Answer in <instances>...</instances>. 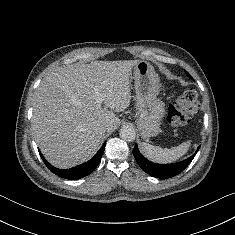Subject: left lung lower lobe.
I'll list each match as a JSON object with an SVG mask.
<instances>
[{
	"mask_svg": "<svg viewBox=\"0 0 235 235\" xmlns=\"http://www.w3.org/2000/svg\"><path fill=\"white\" fill-rule=\"evenodd\" d=\"M199 148L200 146L198 147L197 151L188 159L167 165L156 164L147 160L145 157L141 155L137 145L133 149V155L139 166L149 175L156 178H171L181 173L191 163L196 153L198 152Z\"/></svg>",
	"mask_w": 235,
	"mask_h": 235,
	"instance_id": "left-lung-lower-lobe-1",
	"label": "left lung lower lobe"
}]
</instances>
